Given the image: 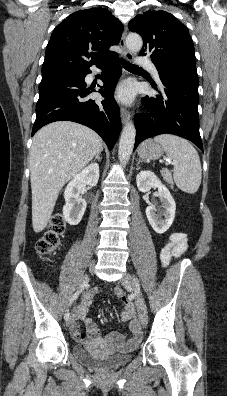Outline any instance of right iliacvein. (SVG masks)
Listing matches in <instances>:
<instances>
[{"instance_id": "right-iliac-vein-1", "label": "right iliac vein", "mask_w": 227, "mask_h": 396, "mask_svg": "<svg viewBox=\"0 0 227 396\" xmlns=\"http://www.w3.org/2000/svg\"><path fill=\"white\" fill-rule=\"evenodd\" d=\"M88 282H89V277H88V275H84V276L82 277V279L80 280L79 287H80L81 289H83L84 287L87 286ZM75 317H76V310H74V311L72 312V314H71V316H70V318H69V320H68V322H67V325H68L69 327L72 326V324L74 323Z\"/></svg>"}]
</instances>
